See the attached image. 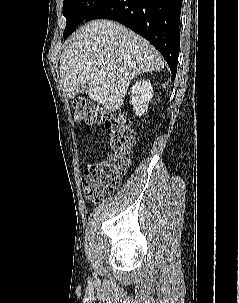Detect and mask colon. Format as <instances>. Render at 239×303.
<instances>
[{"mask_svg": "<svg viewBox=\"0 0 239 303\" xmlns=\"http://www.w3.org/2000/svg\"><path fill=\"white\" fill-rule=\"evenodd\" d=\"M74 106L76 120L89 124L104 123L109 136L110 154L101 160L89 162L82 178L86 199L99 202L114 192L126 175L131 165L134 133L123 116L106 113L83 99L77 100Z\"/></svg>", "mask_w": 239, "mask_h": 303, "instance_id": "1", "label": "colon"}]
</instances>
